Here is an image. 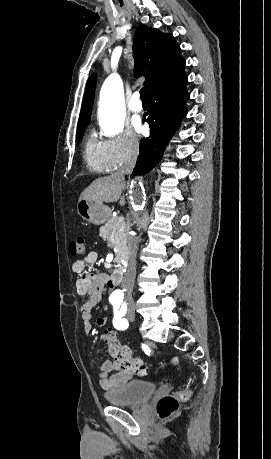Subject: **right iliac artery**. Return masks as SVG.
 Masks as SVG:
<instances>
[{
	"label": "right iliac artery",
	"instance_id": "obj_1",
	"mask_svg": "<svg viewBox=\"0 0 271 459\" xmlns=\"http://www.w3.org/2000/svg\"><path fill=\"white\" fill-rule=\"evenodd\" d=\"M110 302H111V303H115L118 307H119V305H120V301H118V300H115V301H114V300L110 299Z\"/></svg>",
	"mask_w": 271,
	"mask_h": 459
}]
</instances>
